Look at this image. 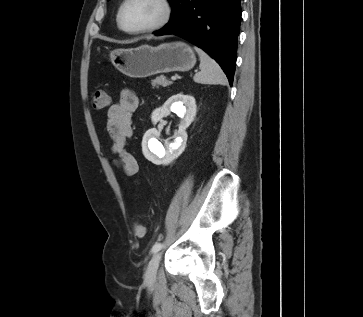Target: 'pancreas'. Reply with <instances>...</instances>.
Returning <instances> with one entry per match:
<instances>
[{
	"mask_svg": "<svg viewBox=\"0 0 363 317\" xmlns=\"http://www.w3.org/2000/svg\"><path fill=\"white\" fill-rule=\"evenodd\" d=\"M171 83L172 82L167 80L165 76L156 77L154 80L151 81L153 88L159 86L167 87L171 85Z\"/></svg>",
	"mask_w": 363,
	"mask_h": 317,
	"instance_id": "cf45deb5",
	"label": "pancreas"
}]
</instances>
